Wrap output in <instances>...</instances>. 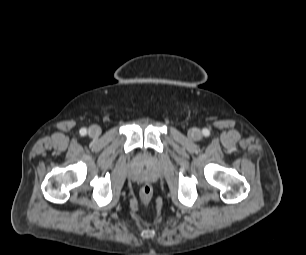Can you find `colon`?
Segmentation results:
<instances>
[{
    "mask_svg": "<svg viewBox=\"0 0 306 255\" xmlns=\"http://www.w3.org/2000/svg\"><path fill=\"white\" fill-rule=\"evenodd\" d=\"M152 194H153L152 187L149 184H145L144 186H142L140 190L141 201L147 204L151 200Z\"/></svg>",
    "mask_w": 306,
    "mask_h": 255,
    "instance_id": "obj_1",
    "label": "colon"
}]
</instances>
